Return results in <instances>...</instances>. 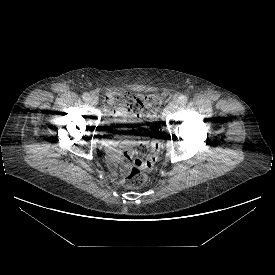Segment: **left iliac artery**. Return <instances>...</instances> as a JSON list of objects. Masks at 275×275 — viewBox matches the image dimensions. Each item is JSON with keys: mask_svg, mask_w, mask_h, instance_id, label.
Returning a JSON list of instances; mask_svg holds the SVG:
<instances>
[{"mask_svg": "<svg viewBox=\"0 0 275 275\" xmlns=\"http://www.w3.org/2000/svg\"><path fill=\"white\" fill-rule=\"evenodd\" d=\"M187 101H188V98L184 95H180L177 99V103L179 105H185L187 103Z\"/></svg>", "mask_w": 275, "mask_h": 275, "instance_id": "obj_1", "label": "left iliac artery"}]
</instances>
